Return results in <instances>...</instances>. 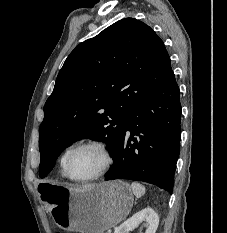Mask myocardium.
Segmentation results:
<instances>
[{
    "instance_id": "myocardium-1",
    "label": "myocardium",
    "mask_w": 227,
    "mask_h": 233,
    "mask_svg": "<svg viewBox=\"0 0 227 233\" xmlns=\"http://www.w3.org/2000/svg\"><path fill=\"white\" fill-rule=\"evenodd\" d=\"M84 147H95V148L99 149L104 156L105 162H104L103 167L96 174H94L90 177H87V178L77 179V178L72 177V175L70 174L69 160H70L71 156L76 151H78L79 149L84 148ZM113 162H114V158H113L112 151L105 142L100 141V140H87V141H83V142L73 146L69 150V152L66 155L65 162H64V171H65L66 177L69 180L76 182V183H86V182L95 181V180L103 177L110 170L111 166L113 165Z\"/></svg>"
}]
</instances>
